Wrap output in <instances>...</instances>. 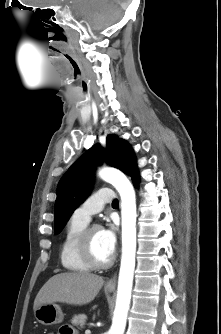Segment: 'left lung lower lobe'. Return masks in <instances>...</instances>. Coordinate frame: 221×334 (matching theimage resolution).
I'll return each mask as SVG.
<instances>
[{
    "label": "left lung lower lobe",
    "mask_w": 221,
    "mask_h": 334,
    "mask_svg": "<svg viewBox=\"0 0 221 334\" xmlns=\"http://www.w3.org/2000/svg\"><path fill=\"white\" fill-rule=\"evenodd\" d=\"M133 183L137 185V182L139 180V173L137 172L133 177H132Z\"/></svg>",
    "instance_id": "0a47b994"
}]
</instances>
